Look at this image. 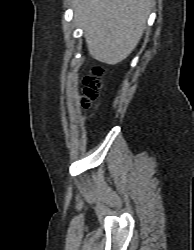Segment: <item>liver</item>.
<instances>
[{"label":"liver","instance_id":"obj_1","mask_svg":"<svg viewBox=\"0 0 194 250\" xmlns=\"http://www.w3.org/2000/svg\"><path fill=\"white\" fill-rule=\"evenodd\" d=\"M152 4V0H72L89 55L109 65L126 59L143 35Z\"/></svg>","mask_w":194,"mask_h":250}]
</instances>
